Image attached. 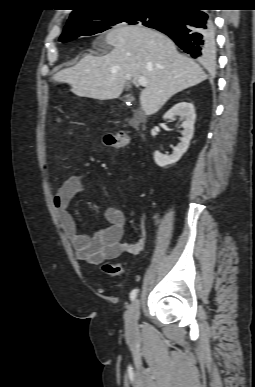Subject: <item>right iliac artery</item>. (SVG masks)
<instances>
[{
    "instance_id": "82829eb1",
    "label": "right iliac artery",
    "mask_w": 255,
    "mask_h": 387,
    "mask_svg": "<svg viewBox=\"0 0 255 387\" xmlns=\"http://www.w3.org/2000/svg\"><path fill=\"white\" fill-rule=\"evenodd\" d=\"M138 289H133L132 292L130 293V298L131 300H134L137 296Z\"/></svg>"
}]
</instances>
